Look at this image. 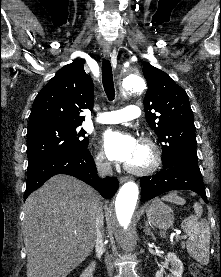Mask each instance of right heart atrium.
I'll return each instance as SVG.
<instances>
[{"label":"right heart atrium","mask_w":221,"mask_h":277,"mask_svg":"<svg viewBox=\"0 0 221 277\" xmlns=\"http://www.w3.org/2000/svg\"><path fill=\"white\" fill-rule=\"evenodd\" d=\"M96 164L101 170H108L110 168V163L107 160L103 151H99L96 155Z\"/></svg>","instance_id":"right-heart-atrium-1"}]
</instances>
